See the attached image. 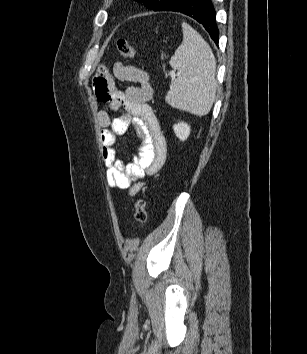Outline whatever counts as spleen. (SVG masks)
Segmentation results:
<instances>
[{
  "label": "spleen",
  "instance_id": "obj_1",
  "mask_svg": "<svg viewBox=\"0 0 307 354\" xmlns=\"http://www.w3.org/2000/svg\"><path fill=\"white\" fill-rule=\"evenodd\" d=\"M183 41L170 59L179 75L165 97L173 108L197 116L209 113L216 97V60L208 43L187 23L182 24Z\"/></svg>",
  "mask_w": 307,
  "mask_h": 354
}]
</instances>
